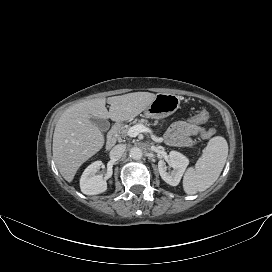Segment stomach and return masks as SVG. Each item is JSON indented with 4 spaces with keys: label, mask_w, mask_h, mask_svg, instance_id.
<instances>
[{
    "label": "stomach",
    "mask_w": 272,
    "mask_h": 272,
    "mask_svg": "<svg viewBox=\"0 0 272 272\" xmlns=\"http://www.w3.org/2000/svg\"><path fill=\"white\" fill-rule=\"evenodd\" d=\"M180 106V98L175 94L158 93L145 110V116L161 119L173 114Z\"/></svg>",
    "instance_id": "obj_1"
}]
</instances>
